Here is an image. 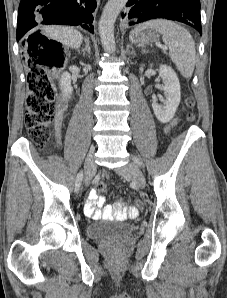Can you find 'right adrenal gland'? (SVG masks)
<instances>
[{
  "label": "right adrenal gland",
  "mask_w": 227,
  "mask_h": 298,
  "mask_svg": "<svg viewBox=\"0 0 227 298\" xmlns=\"http://www.w3.org/2000/svg\"><path fill=\"white\" fill-rule=\"evenodd\" d=\"M86 45L85 47L82 48V51L85 55L86 52H88V54H91V49H90V45H89V40L88 39H84Z\"/></svg>",
  "instance_id": "obj_1"
}]
</instances>
